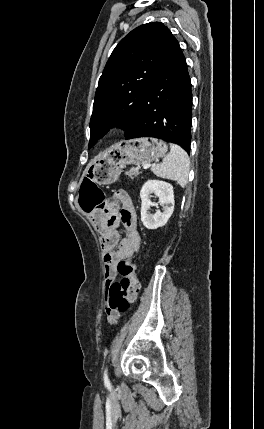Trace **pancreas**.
Instances as JSON below:
<instances>
[{
	"instance_id": "cf45deb5",
	"label": "pancreas",
	"mask_w": 264,
	"mask_h": 429,
	"mask_svg": "<svg viewBox=\"0 0 264 429\" xmlns=\"http://www.w3.org/2000/svg\"><path fill=\"white\" fill-rule=\"evenodd\" d=\"M127 176H129L131 179H133L134 177L138 176L140 174L139 168H130L126 173Z\"/></svg>"
}]
</instances>
